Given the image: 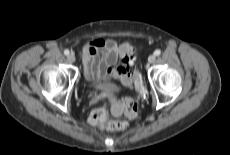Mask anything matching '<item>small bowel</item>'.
Here are the masks:
<instances>
[{"instance_id": "1", "label": "small bowel", "mask_w": 230, "mask_h": 155, "mask_svg": "<svg viewBox=\"0 0 230 155\" xmlns=\"http://www.w3.org/2000/svg\"><path fill=\"white\" fill-rule=\"evenodd\" d=\"M126 46L99 38L88 41L81 50L85 77L91 81H120L124 86H130L132 79L123 68Z\"/></svg>"}]
</instances>
